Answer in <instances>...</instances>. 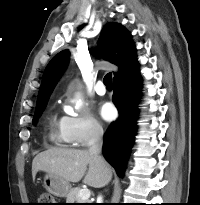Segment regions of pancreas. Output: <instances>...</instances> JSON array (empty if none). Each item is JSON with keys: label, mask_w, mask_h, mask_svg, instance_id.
Segmentation results:
<instances>
[{"label": "pancreas", "mask_w": 200, "mask_h": 205, "mask_svg": "<svg viewBox=\"0 0 200 205\" xmlns=\"http://www.w3.org/2000/svg\"><path fill=\"white\" fill-rule=\"evenodd\" d=\"M80 190H81L80 188L71 189L70 192L67 195L66 203H91L87 200H82L78 196Z\"/></svg>", "instance_id": "pancreas-1"}]
</instances>
